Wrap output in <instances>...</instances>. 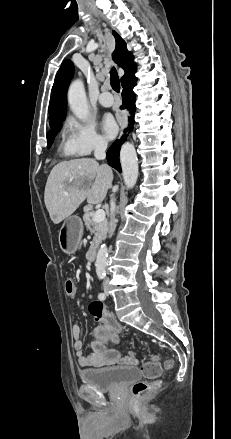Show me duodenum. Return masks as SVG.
I'll return each mask as SVG.
<instances>
[{
    "instance_id": "410a0bca",
    "label": "duodenum",
    "mask_w": 231,
    "mask_h": 439,
    "mask_svg": "<svg viewBox=\"0 0 231 439\" xmlns=\"http://www.w3.org/2000/svg\"><path fill=\"white\" fill-rule=\"evenodd\" d=\"M96 256H97V247L93 245L87 250L86 259L89 262H93L96 260Z\"/></svg>"
}]
</instances>
